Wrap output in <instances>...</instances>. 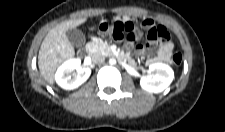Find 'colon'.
Returning <instances> with one entry per match:
<instances>
[{
  "label": "colon",
  "instance_id": "5ec220e1",
  "mask_svg": "<svg viewBox=\"0 0 225 132\" xmlns=\"http://www.w3.org/2000/svg\"><path fill=\"white\" fill-rule=\"evenodd\" d=\"M101 29L110 37L115 40H128L132 41L137 38V32L132 30H124L117 24H103ZM149 40L156 41L157 39L169 40V34L163 27H158L148 31ZM182 55L180 52H175L172 56V62L175 65H180Z\"/></svg>",
  "mask_w": 225,
  "mask_h": 132
}]
</instances>
